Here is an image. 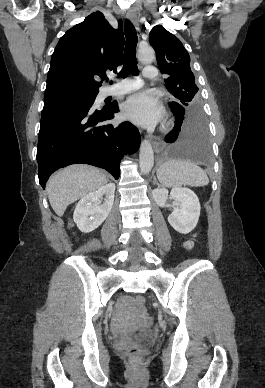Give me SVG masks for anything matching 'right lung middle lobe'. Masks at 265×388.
<instances>
[{
  "label": "right lung middle lobe",
  "mask_w": 265,
  "mask_h": 388,
  "mask_svg": "<svg viewBox=\"0 0 265 388\" xmlns=\"http://www.w3.org/2000/svg\"><path fill=\"white\" fill-rule=\"evenodd\" d=\"M97 94L90 95H66L44 99L42 114L68 107L92 106Z\"/></svg>",
  "instance_id": "dd1d6c3e"
}]
</instances>
